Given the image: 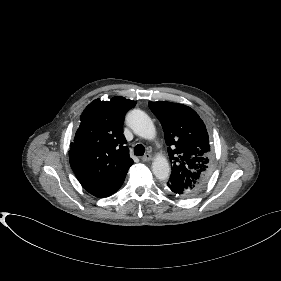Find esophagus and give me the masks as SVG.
<instances>
[{
    "instance_id": "1",
    "label": "esophagus",
    "mask_w": 281,
    "mask_h": 281,
    "mask_svg": "<svg viewBox=\"0 0 281 281\" xmlns=\"http://www.w3.org/2000/svg\"><path fill=\"white\" fill-rule=\"evenodd\" d=\"M151 159H152V156H151V154H149V153H147V154H145L144 156L141 157V160H142L143 162H148V161H150Z\"/></svg>"
}]
</instances>
